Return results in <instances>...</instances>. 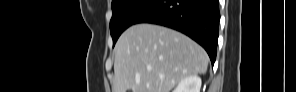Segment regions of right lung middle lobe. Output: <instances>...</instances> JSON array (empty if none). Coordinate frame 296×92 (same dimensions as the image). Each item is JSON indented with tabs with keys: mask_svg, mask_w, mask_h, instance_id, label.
Returning a JSON list of instances; mask_svg holds the SVG:
<instances>
[{
	"mask_svg": "<svg viewBox=\"0 0 296 92\" xmlns=\"http://www.w3.org/2000/svg\"><path fill=\"white\" fill-rule=\"evenodd\" d=\"M156 0H112L110 33L115 45L121 33L131 26Z\"/></svg>",
	"mask_w": 296,
	"mask_h": 92,
	"instance_id": "dd1d6c3e",
	"label": "right lung middle lobe"
}]
</instances>
